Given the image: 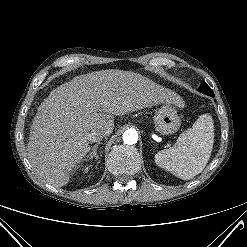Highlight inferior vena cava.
<instances>
[{
    "instance_id": "1",
    "label": "inferior vena cava",
    "mask_w": 247,
    "mask_h": 247,
    "mask_svg": "<svg viewBox=\"0 0 247 247\" xmlns=\"http://www.w3.org/2000/svg\"><path fill=\"white\" fill-rule=\"evenodd\" d=\"M105 136V132L98 129L88 134V140L90 142H100Z\"/></svg>"
}]
</instances>
